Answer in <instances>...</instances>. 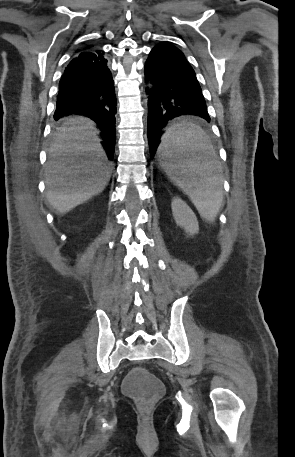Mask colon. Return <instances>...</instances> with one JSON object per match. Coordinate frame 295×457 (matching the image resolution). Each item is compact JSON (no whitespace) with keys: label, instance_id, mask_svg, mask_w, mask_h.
<instances>
[{"label":"colon","instance_id":"5ec220e1","mask_svg":"<svg viewBox=\"0 0 295 457\" xmlns=\"http://www.w3.org/2000/svg\"><path fill=\"white\" fill-rule=\"evenodd\" d=\"M123 390L146 407L159 397L162 386L157 374H150L149 369H131L127 381H123Z\"/></svg>","mask_w":295,"mask_h":457}]
</instances>
